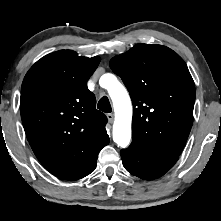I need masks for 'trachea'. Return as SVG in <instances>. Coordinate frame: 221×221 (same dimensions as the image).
I'll return each instance as SVG.
<instances>
[{"mask_svg": "<svg viewBox=\"0 0 221 221\" xmlns=\"http://www.w3.org/2000/svg\"><path fill=\"white\" fill-rule=\"evenodd\" d=\"M97 108L105 113H110L112 111L109 99L106 96H103L99 100Z\"/></svg>", "mask_w": 221, "mask_h": 221, "instance_id": "trachea-1", "label": "trachea"}]
</instances>
